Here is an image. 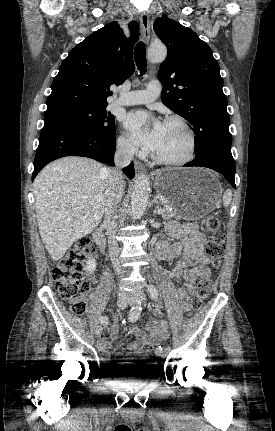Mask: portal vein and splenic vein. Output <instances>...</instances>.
I'll return each instance as SVG.
<instances>
[{"label":"portal vein and splenic vein","mask_w":275,"mask_h":431,"mask_svg":"<svg viewBox=\"0 0 275 431\" xmlns=\"http://www.w3.org/2000/svg\"><path fill=\"white\" fill-rule=\"evenodd\" d=\"M157 212L158 214H163L165 212V209H159Z\"/></svg>","instance_id":"18ae733b"}]
</instances>
